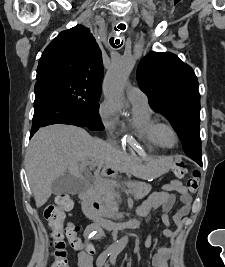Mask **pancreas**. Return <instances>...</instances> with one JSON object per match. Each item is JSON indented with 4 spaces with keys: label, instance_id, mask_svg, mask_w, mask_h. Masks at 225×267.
I'll use <instances>...</instances> for the list:
<instances>
[{
    "label": "pancreas",
    "instance_id": "cf45deb5",
    "mask_svg": "<svg viewBox=\"0 0 225 267\" xmlns=\"http://www.w3.org/2000/svg\"><path fill=\"white\" fill-rule=\"evenodd\" d=\"M127 188L128 193L133 194L135 199H142L149 194L152 186L150 184H141L139 182H128ZM94 191L104 202L102 207L103 216H111L114 210L115 196L112 186L108 185L106 182H100L95 186Z\"/></svg>",
    "mask_w": 225,
    "mask_h": 267
}]
</instances>
